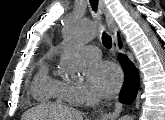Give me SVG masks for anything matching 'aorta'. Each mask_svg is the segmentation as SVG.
<instances>
[{"instance_id": "aorta-1", "label": "aorta", "mask_w": 165, "mask_h": 120, "mask_svg": "<svg viewBox=\"0 0 165 120\" xmlns=\"http://www.w3.org/2000/svg\"><path fill=\"white\" fill-rule=\"evenodd\" d=\"M95 34L96 29L82 19L72 17L65 22L64 55L61 60V68L65 74L74 75L84 70L85 63L79 55V49ZM123 120H133V117L125 116Z\"/></svg>"}]
</instances>
